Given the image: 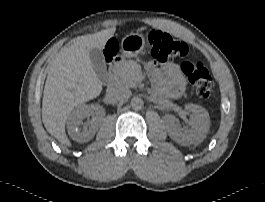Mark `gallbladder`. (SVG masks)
Masks as SVG:
<instances>
[{
	"label": "gallbladder",
	"instance_id": "1",
	"mask_svg": "<svg viewBox=\"0 0 265 202\" xmlns=\"http://www.w3.org/2000/svg\"><path fill=\"white\" fill-rule=\"evenodd\" d=\"M89 56H90V60L93 64L96 74L99 77H105L106 72H107V67H106L105 59H104L101 49L92 48L89 51Z\"/></svg>",
	"mask_w": 265,
	"mask_h": 202
}]
</instances>
